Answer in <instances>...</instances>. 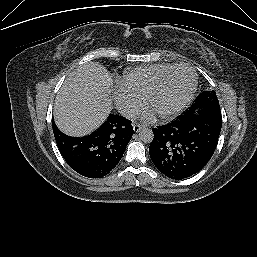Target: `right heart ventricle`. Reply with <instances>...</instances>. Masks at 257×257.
Listing matches in <instances>:
<instances>
[{"mask_svg": "<svg viewBox=\"0 0 257 257\" xmlns=\"http://www.w3.org/2000/svg\"><path fill=\"white\" fill-rule=\"evenodd\" d=\"M173 64H154L128 70L120 79V88L146 98L155 81Z\"/></svg>", "mask_w": 257, "mask_h": 257, "instance_id": "obj_1", "label": "right heart ventricle"}]
</instances>
